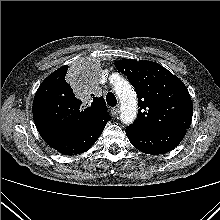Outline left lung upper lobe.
Masks as SVG:
<instances>
[{
	"instance_id": "left-lung-upper-lobe-1",
	"label": "left lung upper lobe",
	"mask_w": 220,
	"mask_h": 220,
	"mask_svg": "<svg viewBox=\"0 0 220 220\" xmlns=\"http://www.w3.org/2000/svg\"><path fill=\"white\" fill-rule=\"evenodd\" d=\"M138 96V116L133 125L154 130H187L193 105L184 83L152 61L124 59L115 63Z\"/></svg>"
}]
</instances>
